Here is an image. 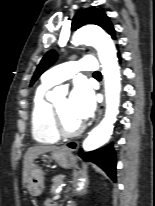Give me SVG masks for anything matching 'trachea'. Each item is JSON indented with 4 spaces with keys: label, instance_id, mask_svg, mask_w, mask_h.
Returning <instances> with one entry per match:
<instances>
[{
    "label": "trachea",
    "instance_id": "trachea-1",
    "mask_svg": "<svg viewBox=\"0 0 155 206\" xmlns=\"http://www.w3.org/2000/svg\"><path fill=\"white\" fill-rule=\"evenodd\" d=\"M94 76H101V73H100L99 71H96V72L94 73Z\"/></svg>",
    "mask_w": 155,
    "mask_h": 206
}]
</instances>
